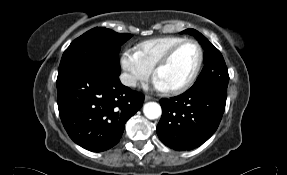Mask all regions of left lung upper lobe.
<instances>
[{"label": "left lung upper lobe", "mask_w": 287, "mask_h": 175, "mask_svg": "<svg viewBox=\"0 0 287 175\" xmlns=\"http://www.w3.org/2000/svg\"><path fill=\"white\" fill-rule=\"evenodd\" d=\"M182 33L193 35L204 49L203 70L190 90H198L205 87L227 90L229 74L220 51L194 29H187Z\"/></svg>", "instance_id": "1"}]
</instances>
